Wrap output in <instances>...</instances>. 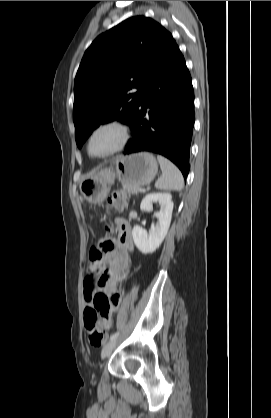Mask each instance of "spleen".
<instances>
[{
  "mask_svg": "<svg viewBox=\"0 0 271 418\" xmlns=\"http://www.w3.org/2000/svg\"><path fill=\"white\" fill-rule=\"evenodd\" d=\"M162 176L156 181L155 187L160 190L181 191L184 187V179L180 170L168 159L158 155Z\"/></svg>",
  "mask_w": 271,
  "mask_h": 418,
  "instance_id": "spleen-1",
  "label": "spleen"
}]
</instances>
